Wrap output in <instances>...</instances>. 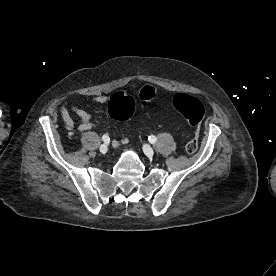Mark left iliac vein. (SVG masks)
Wrapping results in <instances>:
<instances>
[{
	"mask_svg": "<svg viewBox=\"0 0 276 276\" xmlns=\"http://www.w3.org/2000/svg\"><path fill=\"white\" fill-rule=\"evenodd\" d=\"M143 151L150 158L153 157V155H154L153 149L149 145H147V144H145L143 146Z\"/></svg>",
	"mask_w": 276,
	"mask_h": 276,
	"instance_id": "obj_1",
	"label": "left iliac vein"
}]
</instances>
